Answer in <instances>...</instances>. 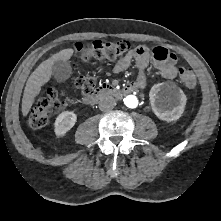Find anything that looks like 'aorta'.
<instances>
[{"label": "aorta", "instance_id": "aorta-1", "mask_svg": "<svg viewBox=\"0 0 221 221\" xmlns=\"http://www.w3.org/2000/svg\"><path fill=\"white\" fill-rule=\"evenodd\" d=\"M124 104L129 108H136L138 106V99L134 95H128L124 99Z\"/></svg>", "mask_w": 221, "mask_h": 221}]
</instances>
